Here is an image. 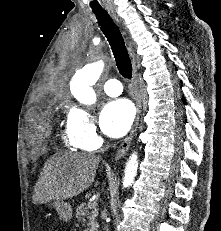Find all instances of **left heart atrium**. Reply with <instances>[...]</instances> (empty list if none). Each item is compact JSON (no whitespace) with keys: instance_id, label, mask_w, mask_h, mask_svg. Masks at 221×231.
<instances>
[{"instance_id":"1","label":"left heart atrium","mask_w":221,"mask_h":231,"mask_svg":"<svg viewBox=\"0 0 221 231\" xmlns=\"http://www.w3.org/2000/svg\"><path fill=\"white\" fill-rule=\"evenodd\" d=\"M134 118L131 103L124 99L110 101L100 114V127L104 134L112 138L125 135Z\"/></svg>"}]
</instances>
